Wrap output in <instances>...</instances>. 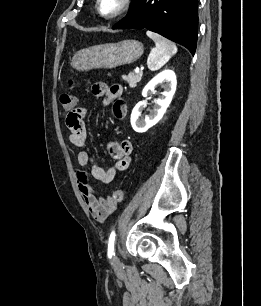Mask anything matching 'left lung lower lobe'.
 Instances as JSON below:
<instances>
[{"mask_svg": "<svg viewBox=\"0 0 261 306\" xmlns=\"http://www.w3.org/2000/svg\"><path fill=\"white\" fill-rule=\"evenodd\" d=\"M198 0H138L112 29H143L185 46L193 55L197 45Z\"/></svg>", "mask_w": 261, "mask_h": 306, "instance_id": "left-lung-lower-lobe-1", "label": "left lung lower lobe"}]
</instances>
